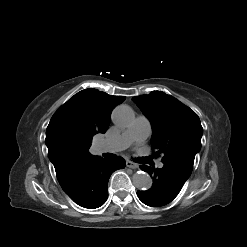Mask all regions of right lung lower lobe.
<instances>
[{"mask_svg":"<svg viewBox=\"0 0 247 247\" xmlns=\"http://www.w3.org/2000/svg\"><path fill=\"white\" fill-rule=\"evenodd\" d=\"M123 158H96L87 164L76 165L57 173L64 192L78 205L95 209L102 206L108 197L107 185L110 175L125 168Z\"/></svg>","mask_w":247,"mask_h":247,"instance_id":"obj_1","label":"right lung lower lobe"}]
</instances>
